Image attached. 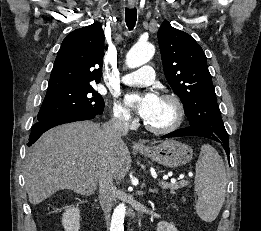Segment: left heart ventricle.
Returning <instances> with one entry per match:
<instances>
[{
    "label": "left heart ventricle",
    "mask_w": 261,
    "mask_h": 231,
    "mask_svg": "<svg viewBox=\"0 0 261 231\" xmlns=\"http://www.w3.org/2000/svg\"><path fill=\"white\" fill-rule=\"evenodd\" d=\"M175 119V109L171 102L159 99L151 117L146 120L150 125L155 127H167Z\"/></svg>",
    "instance_id": "left-heart-ventricle-1"
}]
</instances>
